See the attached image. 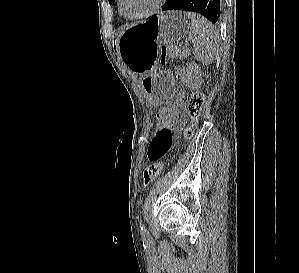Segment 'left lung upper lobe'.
<instances>
[{
    "label": "left lung upper lobe",
    "instance_id": "5c2ea615",
    "mask_svg": "<svg viewBox=\"0 0 299 273\" xmlns=\"http://www.w3.org/2000/svg\"><path fill=\"white\" fill-rule=\"evenodd\" d=\"M115 0H109V3L111 4V3H113Z\"/></svg>",
    "mask_w": 299,
    "mask_h": 273
}]
</instances>
